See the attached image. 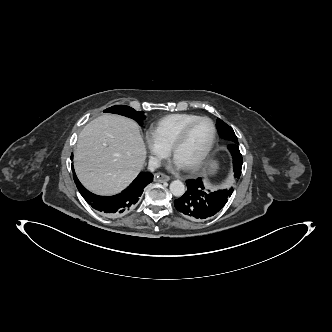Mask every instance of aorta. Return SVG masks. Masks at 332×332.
<instances>
[{"instance_id":"762f6f07","label":"aorta","mask_w":332,"mask_h":332,"mask_svg":"<svg viewBox=\"0 0 332 332\" xmlns=\"http://www.w3.org/2000/svg\"><path fill=\"white\" fill-rule=\"evenodd\" d=\"M170 191L175 197H181L185 193V185L180 180H174L170 183Z\"/></svg>"}]
</instances>
